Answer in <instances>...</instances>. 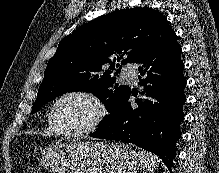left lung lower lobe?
I'll use <instances>...</instances> for the list:
<instances>
[{
    "mask_svg": "<svg viewBox=\"0 0 219 173\" xmlns=\"http://www.w3.org/2000/svg\"><path fill=\"white\" fill-rule=\"evenodd\" d=\"M181 47L173 31L166 39L136 63L140 85L147 99L131 104V90L119 101L110 117L91 137L133 143L158 155L170 170L176 156V142L181 135L180 123L184 118L186 101L181 61ZM156 72L159 75H153ZM133 94V92H132Z\"/></svg>",
    "mask_w": 219,
    "mask_h": 173,
    "instance_id": "0a47b994",
    "label": "left lung lower lobe"
}]
</instances>
